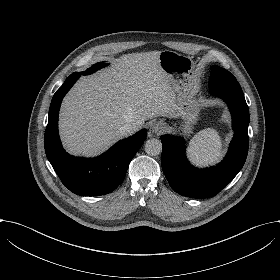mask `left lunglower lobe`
<instances>
[{
    "label": "left lung lower lobe",
    "mask_w": 280,
    "mask_h": 280,
    "mask_svg": "<svg viewBox=\"0 0 280 280\" xmlns=\"http://www.w3.org/2000/svg\"><path fill=\"white\" fill-rule=\"evenodd\" d=\"M222 98L232 114L234 137L224 160L209 169H197L189 164L181 138L163 135L162 169L172 189L186 197L208 198L219 193L243 167L248 153L249 109L243 91L236 82L210 88Z\"/></svg>",
    "instance_id": "1"
}]
</instances>
